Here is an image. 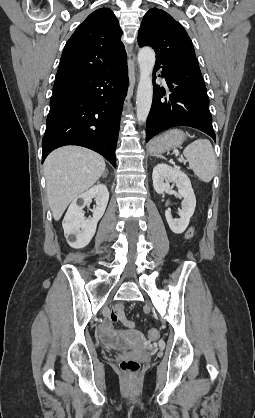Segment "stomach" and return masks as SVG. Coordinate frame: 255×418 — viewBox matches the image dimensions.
Wrapping results in <instances>:
<instances>
[{"mask_svg":"<svg viewBox=\"0 0 255 418\" xmlns=\"http://www.w3.org/2000/svg\"><path fill=\"white\" fill-rule=\"evenodd\" d=\"M185 139L186 135L182 130L171 129L153 139L149 144V151L153 155H159L180 147Z\"/></svg>","mask_w":255,"mask_h":418,"instance_id":"obj_1","label":"stomach"}]
</instances>
